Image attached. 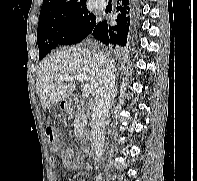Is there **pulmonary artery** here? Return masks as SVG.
Wrapping results in <instances>:
<instances>
[{"instance_id":"1","label":"pulmonary artery","mask_w":197,"mask_h":181,"mask_svg":"<svg viewBox=\"0 0 197 181\" xmlns=\"http://www.w3.org/2000/svg\"><path fill=\"white\" fill-rule=\"evenodd\" d=\"M95 5L98 9H104L106 7V2L105 0H97Z\"/></svg>"}]
</instances>
